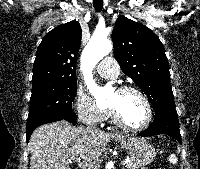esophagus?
<instances>
[{
  "mask_svg": "<svg viewBox=\"0 0 200 169\" xmlns=\"http://www.w3.org/2000/svg\"><path fill=\"white\" fill-rule=\"evenodd\" d=\"M115 136H121L120 134L116 133Z\"/></svg>",
  "mask_w": 200,
  "mask_h": 169,
  "instance_id": "obj_1",
  "label": "esophagus"
}]
</instances>
